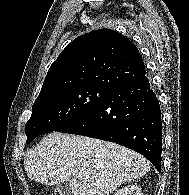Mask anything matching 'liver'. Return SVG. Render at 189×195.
Wrapping results in <instances>:
<instances>
[{"label": "liver", "instance_id": "obj_1", "mask_svg": "<svg viewBox=\"0 0 189 195\" xmlns=\"http://www.w3.org/2000/svg\"><path fill=\"white\" fill-rule=\"evenodd\" d=\"M150 168L142 155L116 143L59 132L45 136L24 158L29 179L48 186L69 181L73 195H110Z\"/></svg>", "mask_w": 189, "mask_h": 195}]
</instances>
